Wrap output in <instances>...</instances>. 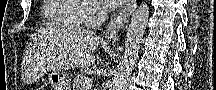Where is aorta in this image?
<instances>
[{"mask_svg": "<svg viewBox=\"0 0 216 90\" xmlns=\"http://www.w3.org/2000/svg\"><path fill=\"white\" fill-rule=\"evenodd\" d=\"M149 12L150 6L148 2H142L136 10H133L126 32L122 58L110 84V90H125L130 72H132L135 60H137L139 54L141 42L148 24Z\"/></svg>", "mask_w": 216, "mask_h": 90, "instance_id": "762f6f07", "label": "aorta"}]
</instances>
